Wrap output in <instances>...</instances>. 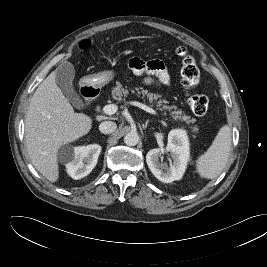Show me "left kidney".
I'll return each mask as SVG.
<instances>
[{
    "label": "left kidney",
    "instance_id": "1",
    "mask_svg": "<svg viewBox=\"0 0 267 267\" xmlns=\"http://www.w3.org/2000/svg\"><path fill=\"white\" fill-rule=\"evenodd\" d=\"M170 152L169 166L166 162H159L162 154ZM189 160L188 137L184 130L175 129L168 134L165 148H155L146 155L147 165L152 174L161 182L171 183L182 178Z\"/></svg>",
    "mask_w": 267,
    "mask_h": 267
}]
</instances>
